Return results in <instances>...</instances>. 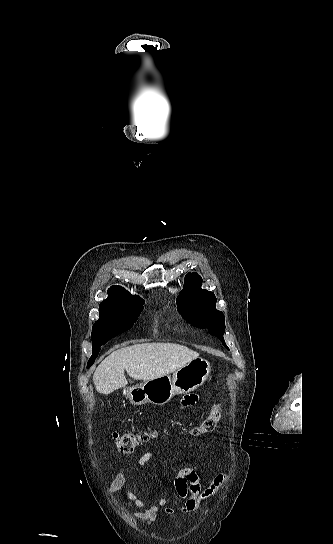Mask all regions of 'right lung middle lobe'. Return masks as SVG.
<instances>
[{
	"label": "right lung middle lobe",
	"mask_w": 333,
	"mask_h": 544,
	"mask_svg": "<svg viewBox=\"0 0 333 544\" xmlns=\"http://www.w3.org/2000/svg\"><path fill=\"white\" fill-rule=\"evenodd\" d=\"M143 304L144 300L136 297L99 305V319L92 327L93 352L88 367L94 363L102 345L133 326L143 310Z\"/></svg>",
	"instance_id": "dd1d6c3e"
}]
</instances>
